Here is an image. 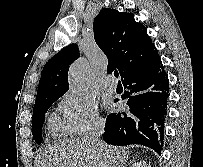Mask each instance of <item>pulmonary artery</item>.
I'll use <instances>...</instances> for the list:
<instances>
[{
  "mask_svg": "<svg viewBox=\"0 0 203 167\" xmlns=\"http://www.w3.org/2000/svg\"><path fill=\"white\" fill-rule=\"evenodd\" d=\"M103 88L105 90H108V91H115L116 90L117 83L111 75L106 77V79L103 83Z\"/></svg>",
  "mask_w": 203,
  "mask_h": 167,
  "instance_id": "pulmonary-artery-1",
  "label": "pulmonary artery"
}]
</instances>
